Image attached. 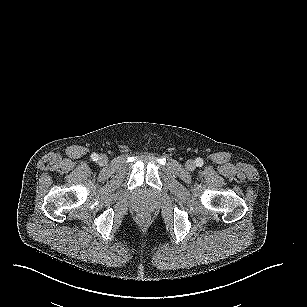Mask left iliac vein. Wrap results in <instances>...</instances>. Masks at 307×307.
Listing matches in <instances>:
<instances>
[{
    "instance_id": "4c4485c4",
    "label": "left iliac vein",
    "mask_w": 307,
    "mask_h": 307,
    "mask_svg": "<svg viewBox=\"0 0 307 307\" xmlns=\"http://www.w3.org/2000/svg\"><path fill=\"white\" fill-rule=\"evenodd\" d=\"M185 167L188 171H194L196 168L195 162L193 160H188L185 164Z\"/></svg>"
}]
</instances>
